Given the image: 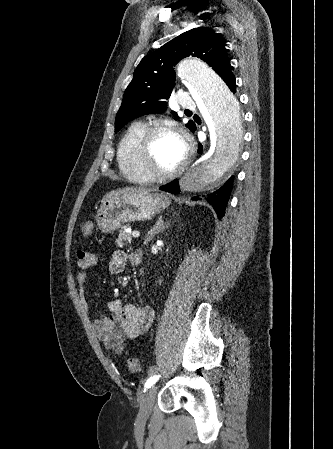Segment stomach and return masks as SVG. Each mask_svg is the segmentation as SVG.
<instances>
[{
	"label": "stomach",
	"mask_w": 333,
	"mask_h": 449,
	"mask_svg": "<svg viewBox=\"0 0 333 449\" xmlns=\"http://www.w3.org/2000/svg\"><path fill=\"white\" fill-rule=\"evenodd\" d=\"M169 204V198L159 193L125 194L103 202L97 211V225L102 232H112L129 222L149 220Z\"/></svg>",
	"instance_id": "obj_1"
}]
</instances>
